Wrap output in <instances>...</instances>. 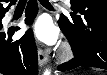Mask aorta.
Segmentation results:
<instances>
[{
	"label": "aorta",
	"instance_id": "1",
	"mask_svg": "<svg viewBox=\"0 0 107 75\" xmlns=\"http://www.w3.org/2000/svg\"><path fill=\"white\" fill-rule=\"evenodd\" d=\"M43 75H51V71L48 70V69H46V70L44 71V74H43Z\"/></svg>",
	"mask_w": 107,
	"mask_h": 75
}]
</instances>
